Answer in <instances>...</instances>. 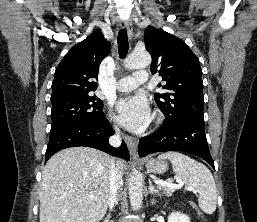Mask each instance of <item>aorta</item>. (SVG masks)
I'll use <instances>...</instances> for the list:
<instances>
[{"label":"aorta","instance_id":"762f6f07","mask_svg":"<svg viewBox=\"0 0 257 222\" xmlns=\"http://www.w3.org/2000/svg\"><path fill=\"white\" fill-rule=\"evenodd\" d=\"M151 64V56L147 51L132 52L125 62L128 69L146 68ZM129 198L131 206L134 210L141 207L143 200V176L133 168L129 179Z\"/></svg>","mask_w":257,"mask_h":222}]
</instances>
